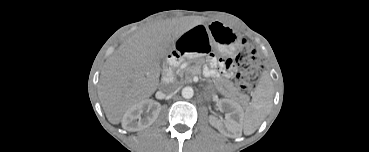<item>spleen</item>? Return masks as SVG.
Wrapping results in <instances>:
<instances>
[{"label":"spleen","mask_w":369,"mask_h":152,"mask_svg":"<svg viewBox=\"0 0 369 152\" xmlns=\"http://www.w3.org/2000/svg\"><path fill=\"white\" fill-rule=\"evenodd\" d=\"M273 89L270 80L264 77L256 88L250 106L245 111L242 126L245 131L254 132L268 115L272 104Z\"/></svg>","instance_id":"spleen-1"}]
</instances>
